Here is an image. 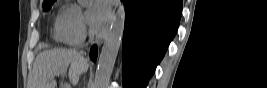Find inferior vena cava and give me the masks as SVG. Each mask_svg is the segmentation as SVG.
<instances>
[{
	"label": "inferior vena cava",
	"mask_w": 267,
	"mask_h": 88,
	"mask_svg": "<svg viewBox=\"0 0 267 88\" xmlns=\"http://www.w3.org/2000/svg\"><path fill=\"white\" fill-rule=\"evenodd\" d=\"M79 57L82 58V59H84V57H83V51H81V52L79 53Z\"/></svg>",
	"instance_id": "1"
}]
</instances>
